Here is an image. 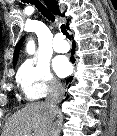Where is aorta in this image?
<instances>
[{"label":"aorta","mask_w":117,"mask_h":136,"mask_svg":"<svg viewBox=\"0 0 117 136\" xmlns=\"http://www.w3.org/2000/svg\"><path fill=\"white\" fill-rule=\"evenodd\" d=\"M34 51H35V44H34V41L31 40V41H29L28 44H27V52H28L29 54H33Z\"/></svg>","instance_id":"obj_1"}]
</instances>
